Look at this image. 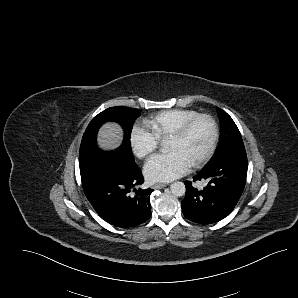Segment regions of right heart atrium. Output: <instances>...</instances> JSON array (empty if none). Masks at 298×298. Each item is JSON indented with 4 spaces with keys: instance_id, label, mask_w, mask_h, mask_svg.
<instances>
[{
    "instance_id": "obj_1",
    "label": "right heart atrium",
    "mask_w": 298,
    "mask_h": 298,
    "mask_svg": "<svg viewBox=\"0 0 298 298\" xmlns=\"http://www.w3.org/2000/svg\"><path fill=\"white\" fill-rule=\"evenodd\" d=\"M130 141L134 153L144 158L155 151L160 145V139L141 125H134L130 132Z\"/></svg>"
}]
</instances>
